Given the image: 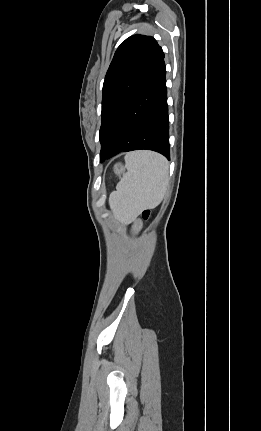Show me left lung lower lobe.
Masks as SVG:
<instances>
[{"label":"left lung lower lobe","mask_w":261,"mask_h":431,"mask_svg":"<svg viewBox=\"0 0 261 431\" xmlns=\"http://www.w3.org/2000/svg\"><path fill=\"white\" fill-rule=\"evenodd\" d=\"M138 149L153 150L170 159L164 58L131 101L107 159L123 151Z\"/></svg>","instance_id":"obj_1"}]
</instances>
